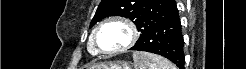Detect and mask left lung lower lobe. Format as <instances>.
<instances>
[{
  "mask_svg": "<svg viewBox=\"0 0 246 69\" xmlns=\"http://www.w3.org/2000/svg\"><path fill=\"white\" fill-rule=\"evenodd\" d=\"M183 35L178 10L145 30L130 50L162 55L184 69Z\"/></svg>",
  "mask_w": 246,
  "mask_h": 69,
  "instance_id": "0a47b994",
  "label": "left lung lower lobe"
}]
</instances>
